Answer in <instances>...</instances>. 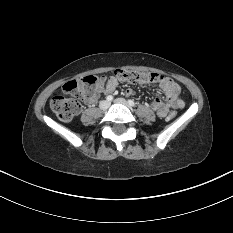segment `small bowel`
<instances>
[{
  "mask_svg": "<svg viewBox=\"0 0 233 233\" xmlns=\"http://www.w3.org/2000/svg\"><path fill=\"white\" fill-rule=\"evenodd\" d=\"M119 80L115 76H111L109 78L100 77L99 78V86L94 95L86 99L88 104H94L97 100L99 94H110L114 92ZM160 88L165 95V100L161 98H156L152 104V109L157 113L160 117H165L170 114L173 109H181L184 106L182 99L179 97L180 87L177 83H175L170 78H162L160 82ZM127 95H132L133 90L128 89L126 91Z\"/></svg>",
  "mask_w": 233,
  "mask_h": 233,
  "instance_id": "small-bowel-1",
  "label": "small bowel"
}]
</instances>
